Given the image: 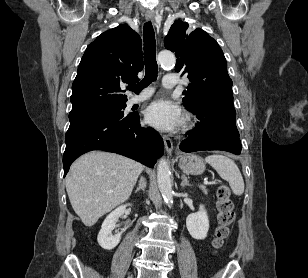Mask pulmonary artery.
I'll use <instances>...</instances> for the list:
<instances>
[{"label":"pulmonary artery","instance_id":"obj_1","mask_svg":"<svg viewBox=\"0 0 308 278\" xmlns=\"http://www.w3.org/2000/svg\"><path fill=\"white\" fill-rule=\"evenodd\" d=\"M177 83H178V79L175 74H166L163 77V86L166 88H173L177 85ZM152 93H153V90L151 88L145 89L139 95L131 97V99L129 100V104L134 105L142 101H145L152 95Z\"/></svg>","mask_w":308,"mask_h":278}]
</instances>
